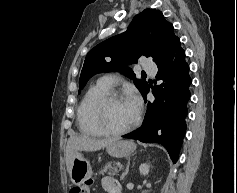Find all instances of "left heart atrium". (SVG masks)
Segmentation results:
<instances>
[{
  "instance_id": "1",
  "label": "left heart atrium",
  "mask_w": 237,
  "mask_h": 193,
  "mask_svg": "<svg viewBox=\"0 0 237 193\" xmlns=\"http://www.w3.org/2000/svg\"><path fill=\"white\" fill-rule=\"evenodd\" d=\"M130 103L132 104V106L134 107V109L136 110V112L139 110L140 107V100L138 97L133 96L131 97V99L129 100Z\"/></svg>"
}]
</instances>
